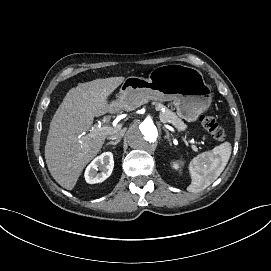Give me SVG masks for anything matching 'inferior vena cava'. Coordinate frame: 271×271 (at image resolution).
Returning a JSON list of instances; mask_svg holds the SVG:
<instances>
[{
	"instance_id": "602c4592",
	"label": "inferior vena cava",
	"mask_w": 271,
	"mask_h": 271,
	"mask_svg": "<svg viewBox=\"0 0 271 271\" xmlns=\"http://www.w3.org/2000/svg\"><path fill=\"white\" fill-rule=\"evenodd\" d=\"M124 134V130H120V131H114L113 133H110L108 136H107V139L109 140H115V142H119L121 137L123 136Z\"/></svg>"
}]
</instances>
